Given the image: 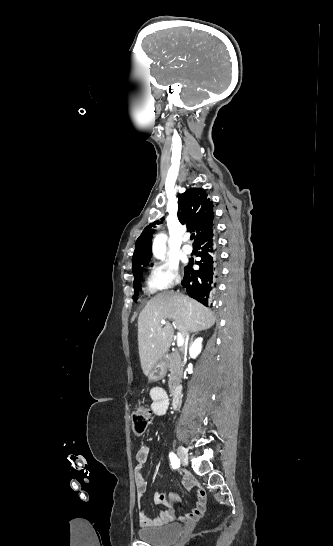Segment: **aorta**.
I'll return each mask as SVG.
<instances>
[{
    "instance_id": "762f6f07",
    "label": "aorta",
    "mask_w": 333,
    "mask_h": 546,
    "mask_svg": "<svg viewBox=\"0 0 333 546\" xmlns=\"http://www.w3.org/2000/svg\"><path fill=\"white\" fill-rule=\"evenodd\" d=\"M165 241H166V235H164V234H159L154 239L152 251H153V255L157 259H163V257H164V254H165Z\"/></svg>"
}]
</instances>
